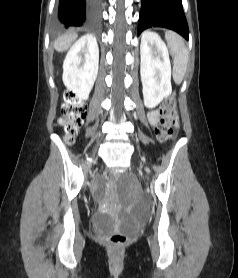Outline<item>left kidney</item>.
I'll return each instance as SVG.
<instances>
[{"label":"left kidney","mask_w":238,"mask_h":278,"mask_svg":"<svg viewBox=\"0 0 238 278\" xmlns=\"http://www.w3.org/2000/svg\"><path fill=\"white\" fill-rule=\"evenodd\" d=\"M144 104L155 108L172 92L171 64L166 45L155 33H144L140 46Z\"/></svg>","instance_id":"5707ae66"}]
</instances>
